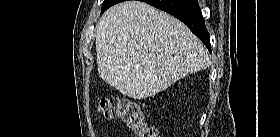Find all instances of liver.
<instances>
[{"label":"liver","instance_id":"liver-1","mask_svg":"<svg viewBox=\"0 0 280 137\" xmlns=\"http://www.w3.org/2000/svg\"><path fill=\"white\" fill-rule=\"evenodd\" d=\"M95 45L101 79L133 99L151 97L210 64L207 49L186 25L140 1L105 11Z\"/></svg>","mask_w":280,"mask_h":137}]
</instances>
